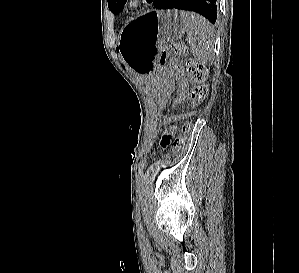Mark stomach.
Masks as SVG:
<instances>
[{
  "mask_svg": "<svg viewBox=\"0 0 299 273\" xmlns=\"http://www.w3.org/2000/svg\"><path fill=\"white\" fill-rule=\"evenodd\" d=\"M186 29L177 10L151 11L125 25L119 36L117 51L121 60L138 74L151 77L155 93H164L171 77L168 69H160L162 43L182 37Z\"/></svg>",
  "mask_w": 299,
  "mask_h": 273,
  "instance_id": "stomach-1",
  "label": "stomach"
}]
</instances>
